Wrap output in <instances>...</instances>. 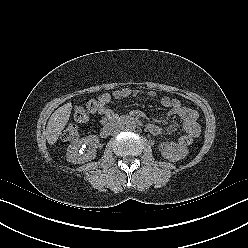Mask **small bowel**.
Wrapping results in <instances>:
<instances>
[{
	"label": "small bowel",
	"instance_id": "small-bowel-1",
	"mask_svg": "<svg viewBox=\"0 0 248 248\" xmlns=\"http://www.w3.org/2000/svg\"><path fill=\"white\" fill-rule=\"evenodd\" d=\"M139 94L138 90H131L129 88H122L115 90L112 95L109 93H103L99 96L98 100L100 106L98 109L99 114L102 116V122L106 123L108 120H112L117 117V113L109 106L112 98L115 100H122L128 97H135ZM150 97H155L156 93L151 91L148 93ZM161 104L169 108V115H176L182 120V128L185 135L195 139L200 133V125L198 123V112L194 109L184 106L179 100L170 98L169 96H163L161 98ZM177 128L176 124H169L165 127H161L155 123L148 124V130L154 134L159 135L162 133H169Z\"/></svg>",
	"mask_w": 248,
	"mask_h": 248
}]
</instances>
